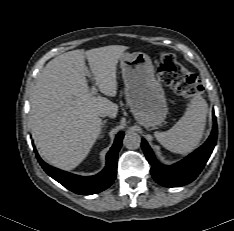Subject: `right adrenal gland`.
<instances>
[{
    "instance_id": "obj_1",
    "label": "right adrenal gland",
    "mask_w": 234,
    "mask_h": 231,
    "mask_svg": "<svg viewBox=\"0 0 234 231\" xmlns=\"http://www.w3.org/2000/svg\"><path fill=\"white\" fill-rule=\"evenodd\" d=\"M106 122H107V120H104L103 121V124H102V128H104L105 129V127H106ZM103 129V130H104ZM103 130L100 132L101 134L103 133ZM101 137H102V135H100Z\"/></svg>"
}]
</instances>
